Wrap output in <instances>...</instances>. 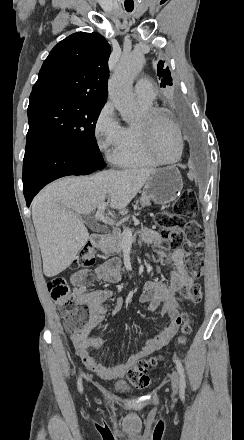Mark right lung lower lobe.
I'll use <instances>...</instances> for the list:
<instances>
[{
    "label": "right lung lower lobe",
    "mask_w": 244,
    "mask_h": 440,
    "mask_svg": "<svg viewBox=\"0 0 244 440\" xmlns=\"http://www.w3.org/2000/svg\"><path fill=\"white\" fill-rule=\"evenodd\" d=\"M104 166L99 151H85L47 137L27 138L23 163V192L27 206L53 180L69 175H87Z\"/></svg>",
    "instance_id": "right-lung-lower-lobe-1"
}]
</instances>
